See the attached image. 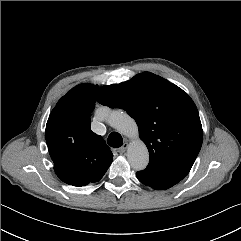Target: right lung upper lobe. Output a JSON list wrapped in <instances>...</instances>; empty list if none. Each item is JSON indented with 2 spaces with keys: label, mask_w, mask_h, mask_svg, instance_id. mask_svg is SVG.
<instances>
[{
  "label": "right lung upper lobe",
  "mask_w": 241,
  "mask_h": 241,
  "mask_svg": "<svg viewBox=\"0 0 241 241\" xmlns=\"http://www.w3.org/2000/svg\"><path fill=\"white\" fill-rule=\"evenodd\" d=\"M98 86L81 84L64 95L52 110L45 138L55 169L88 181H99L113 161L102 136L90 129Z\"/></svg>",
  "instance_id": "cb5924a9"
}]
</instances>
